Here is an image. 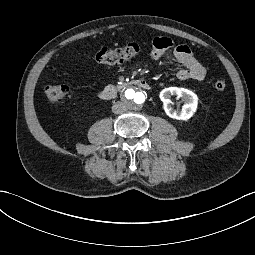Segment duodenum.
Masks as SVG:
<instances>
[{"instance_id": "410a0bca", "label": "duodenum", "mask_w": 255, "mask_h": 255, "mask_svg": "<svg viewBox=\"0 0 255 255\" xmlns=\"http://www.w3.org/2000/svg\"><path fill=\"white\" fill-rule=\"evenodd\" d=\"M129 87H138L143 90H149L150 84L143 78H136L129 82L105 87L103 90L100 91L99 97L103 100H111L114 99L121 90Z\"/></svg>"}]
</instances>
